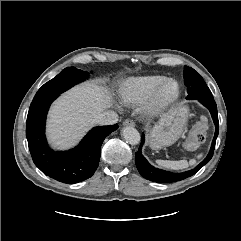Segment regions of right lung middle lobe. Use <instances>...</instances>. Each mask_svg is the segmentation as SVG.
Masks as SVG:
<instances>
[{"label":"right lung middle lobe","mask_w":241,"mask_h":241,"mask_svg":"<svg viewBox=\"0 0 241 241\" xmlns=\"http://www.w3.org/2000/svg\"><path fill=\"white\" fill-rule=\"evenodd\" d=\"M88 77L87 72L77 70L74 67L65 68L55 78L45 83L36 93L34 99H40L59 95L77 83Z\"/></svg>","instance_id":"right-lung-middle-lobe-1"}]
</instances>
